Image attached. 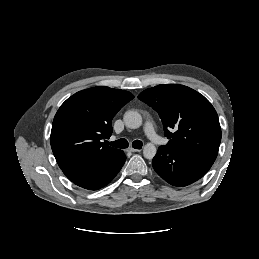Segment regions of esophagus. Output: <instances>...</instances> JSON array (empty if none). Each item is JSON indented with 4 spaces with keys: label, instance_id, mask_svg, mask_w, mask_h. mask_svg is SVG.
I'll list each match as a JSON object with an SVG mask.
<instances>
[{
    "label": "esophagus",
    "instance_id": "obj_1",
    "mask_svg": "<svg viewBox=\"0 0 259 259\" xmlns=\"http://www.w3.org/2000/svg\"><path fill=\"white\" fill-rule=\"evenodd\" d=\"M129 151L130 152H140L141 150L140 149H135V148H129Z\"/></svg>",
    "mask_w": 259,
    "mask_h": 259
}]
</instances>
